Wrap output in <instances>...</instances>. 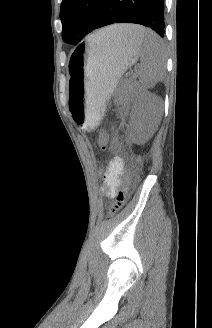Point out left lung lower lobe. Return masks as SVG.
<instances>
[{
  "mask_svg": "<svg viewBox=\"0 0 212 328\" xmlns=\"http://www.w3.org/2000/svg\"><path fill=\"white\" fill-rule=\"evenodd\" d=\"M114 23H136L164 37V0H104L93 30Z\"/></svg>",
  "mask_w": 212,
  "mask_h": 328,
  "instance_id": "left-lung-lower-lobe-1",
  "label": "left lung lower lobe"
}]
</instances>
